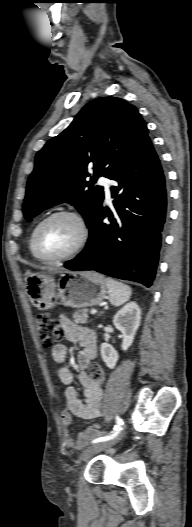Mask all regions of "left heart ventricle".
Here are the masks:
<instances>
[{
  "instance_id": "obj_1",
  "label": "left heart ventricle",
  "mask_w": 192,
  "mask_h": 527,
  "mask_svg": "<svg viewBox=\"0 0 192 527\" xmlns=\"http://www.w3.org/2000/svg\"><path fill=\"white\" fill-rule=\"evenodd\" d=\"M79 234V226L73 218L55 217L47 222L39 233V250L46 257L64 255L76 245Z\"/></svg>"
}]
</instances>
